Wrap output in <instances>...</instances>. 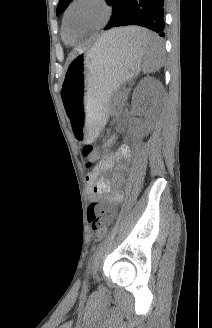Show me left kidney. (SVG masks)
Masks as SVG:
<instances>
[{"label":"left kidney","mask_w":212,"mask_h":328,"mask_svg":"<svg viewBox=\"0 0 212 328\" xmlns=\"http://www.w3.org/2000/svg\"><path fill=\"white\" fill-rule=\"evenodd\" d=\"M160 82L152 77H145L140 81L133 93V106L137 107L139 103L147 96L156 97L159 93ZM154 108L148 110V119L138 127V133L141 136L148 134L153 127ZM131 123H133L131 121Z\"/></svg>","instance_id":"5707ae66"}]
</instances>
